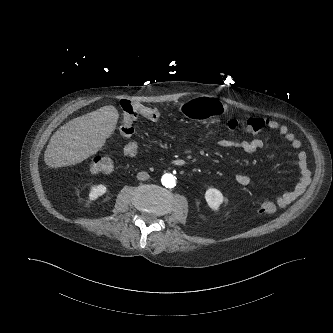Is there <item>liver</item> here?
<instances>
[{
	"label": "liver",
	"instance_id": "liver-1",
	"mask_svg": "<svg viewBox=\"0 0 333 333\" xmlns=\"http://www.w3.org/2000/svg\"><path fill=\"white\" fill-rule=\"evenodd\" d=\"M118 119V110L112 105L72 119L50 138L44 153L46 165L71 166L96 154L113 134Z\"/></svg>",
	"mask_w": 333,
	"mask_h": 333
}]
</instances>
